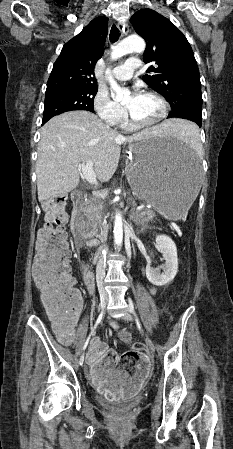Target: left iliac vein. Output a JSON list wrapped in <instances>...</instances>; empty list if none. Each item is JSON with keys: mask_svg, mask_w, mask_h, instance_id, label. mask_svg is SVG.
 I'll use <instances>...</instances> for the list:
<instances>
[{"mask_svg": "<svg viewBox=\"0 0 233 449\" xmlns=\"http://www.w3.org/2000/svg\"><path fill=\"white\" fill-rule=\"evenodd\" d=\"M123 319L126 320V321H130V322L134 321L133 316H132L129 312H126V313L123 315ZM146 342H147V345H148V347H149V350H150L152 353H155V346H154V343L152 342V340H151L149 337H147V338H146Z\"/></svg>", "mask_w": 233, "mask_h": 449, "instance_id": "4c4485c4", "label": "left iliac vein"}]
</instances>
